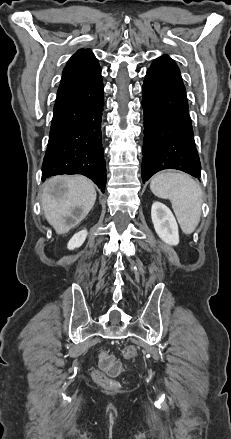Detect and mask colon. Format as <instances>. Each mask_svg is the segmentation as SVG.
Returning a JSON list of instances; mask_svg holds the SVG:
<instances>
[{"instance_id":"obj_1","label":"colon","mask_w":231,"mask_h":439,"mask_svg":"<svg viewBox=\"0 0 231 439\" xmlns=\"http://www.w3.org/2000/svg\"><path fill=\"white\" fill-rule=\"evenodd\" d=\"M124 359L130 360L136 356V349L133 346H126L121 350ZM121 367L118 361L108 353H102L99 358V369L92 372L93 379L100 385L115 387L114 378L120 373Z\"/></svg>"}]
</instances>
